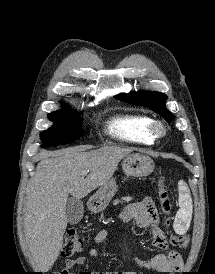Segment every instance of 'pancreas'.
<instances>
[{"instance_id":"pancreas-1","label":"pancreas","mask_w":215,"mask_h":274,"mask_svg":"<svg viewBox=\"0 0 215 274\" xmlns=\"http://www.w3.org/2000/svg\"><path fill=\"white\" fill-rule=\"evenodd\" d=\"M124 199V201H126V202H129V201H131L132 200V198L131 197H125V198H123ZM119 200H115L114 201V205H117V204H119Z\"/></svg>"}]
</instances>
